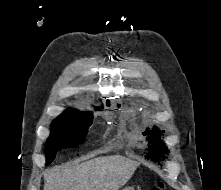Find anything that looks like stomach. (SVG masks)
<instances>
[{
    "label": "stomach",
    "mask_w": 221,
    "mask_h": 190,
    "mask_svg": "<svg viewBox=\"0 0 221 190\" xmlns=\"http://www.w3.org/2000/svg\"><path fill=\"white\" fill-rule=\"evenodd\" d=\"M123 190H134L133 187H125Z\"/></svg>",
    "instance_id": "0dacf381"
}]
</instances>
